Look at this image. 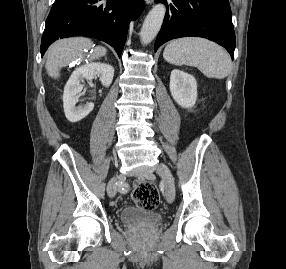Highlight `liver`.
Instances as JSON below:
<instances>
[{
	"label": "liver",
	"instance_id": "6515ba94",
	"mask_svg": "<svg viewBox=\"0 0 286 269\" xmlns=\"http://www.w3.org/2000/svg\"><path fill=\"white\" fill-rule=\"evenodd\" d=\"M92 47V41L83 38H67L54 43L47 55L45 64L46 71L53 78L59 77V71L62 67L67 66L74 61L76 57L85 49ZM107 50L102 46L95 47L91 54L90 60L99 59L106 54ZM83 59V55L80 56Z\"/></svg>",
	"mask_w": 286,
	"mask_h": 269
}]
</instances>
